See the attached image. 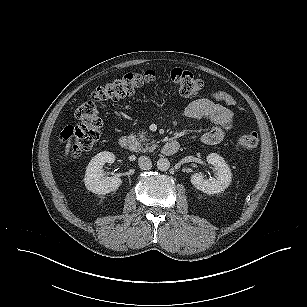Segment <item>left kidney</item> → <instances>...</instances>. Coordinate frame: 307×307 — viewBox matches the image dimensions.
Returning <instances> with one entry per match:
<instances>
[{"instance_id": "5707ae66", "label": "left kidney", "mask_w": 307, "mask_h": 307, "mask_svg": "<svg viewBox=\"0 0 307 307\" xmlns=\"http://www.w3.org/2000/svg\"><path fill=\"white\" fill-rule=\"evenodd\" d=\"M207 162L214 166L216 171L215 178L204 179L199 173L191 176L192 185L206 193L218 194L224 191L231 183L232 173L225 160L216 153H211L207 156Z\"/></svg>"}]
</instances>
